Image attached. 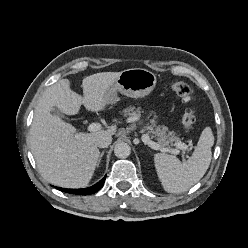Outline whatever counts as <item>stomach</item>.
<instances>
[{
  "label": "stomach",
  "mask_w": 248,
  "mask_h": 248,
  "mask_svg": "<svg viewBox=\"0 0 248 248\" xmlns=\"http://www.w3.org/2000/svg\"><path fill=\"white\" fill-rule=\"evenodd\" d=\"M156 83V75L147 69H126L107 90L106 102L107 104L117 103L119 100L117 92L132 98L145 97L153 91Z\"/></svg>",
  "instance_id": "obj_1"
}]
</instances>
